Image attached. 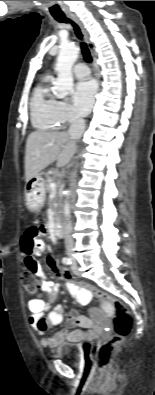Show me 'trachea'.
I'll return each mask as SVG.
<instances>
[{"label": "trachea", "mask_w": 155, "mask_h": 395, "mask_svg": "<svg viewBox=\"0 0 155 395\" xmlns=\"http://www.w3.org/2000/svg\"><path fill=\"white\" fill-rule=\"evenodd\" d=\"M54 18L58 22H61V23H70L74 27V31H75L76 36L79 39H82L83 36H82L81 31H80V28L78 27V25L75 22H73L71 19L67 18L64 14L54 15ZM81 50H82V54H83L84 60L86 62H91L92 61V57H91L90 51H89L86 43H84V42L81 43Z\"/></svg>", "instance_id": "1"}]
</instances>
